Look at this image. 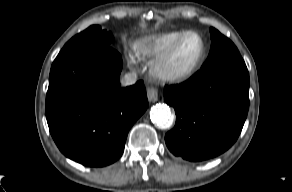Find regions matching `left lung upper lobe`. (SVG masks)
Masks as SVG:
<instances>
[{
	"mask_svg": "<svg viewBox=\"0 0 292 192\" xmlns=\"http://www.w3.org/2000/svg\"><path fill=\"white\" fill-rule=\"evenodd\" d=\"M211 50L201 69L225 63H244L236 46L215 28H210Z\"/></svg>",
	"mask_w": 292,
	"mask_h": 192,
	"instance_id": "obj_1",
	"label": "left lung upper lobe"
}]
</instances>
